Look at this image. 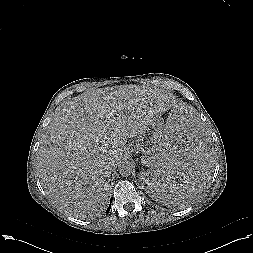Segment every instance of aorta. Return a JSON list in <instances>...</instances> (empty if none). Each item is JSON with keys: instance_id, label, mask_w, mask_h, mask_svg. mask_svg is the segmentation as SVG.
<instances>
[{"instance_id": "aorta-1", "label": "aorta", "mask_w": 253, "mask_h": 253, "mask_svg": "<svg viewBox=\"0 0 253 253\" xmlns=\"http://www.w3.org/2000/svg\"><path fill=\"white\" fill-rule=\"evenodd\" d=\"M119 174L121 176L127 177L135 171L134 163L130 160H123L118 165Z\"/></svg>"}]
</instances>
